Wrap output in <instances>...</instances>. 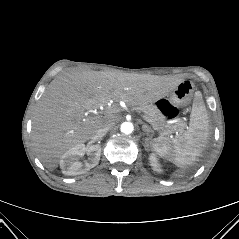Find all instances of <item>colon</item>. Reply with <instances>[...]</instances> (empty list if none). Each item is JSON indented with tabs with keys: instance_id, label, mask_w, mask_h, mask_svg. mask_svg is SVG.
<instances>
[{
	"instance_id": "colon-1",
	"label": "colon",
	"mask_w": 239,
	"mask_h": 239,
	"mask_svg": "<svg viewBox=\"0 0 239 239\" xmlns=\"http://www.w3.org/2000/svg\"><path fill=\"white\" fill-rule=\"evenodd\" d=\"M158 108L169 119H174L177 116V109L167 100H160Z\"/></svg>"
}]
</instances>
